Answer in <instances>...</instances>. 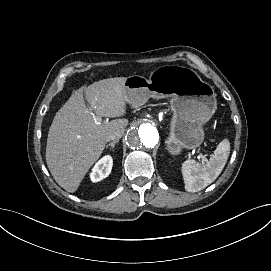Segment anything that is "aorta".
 Here are the masks:
<instances>
[{
  "mask_svg": "<svg viewBox=\"0 0 271 271\" xmlns=\"http://www.w3.org/2000/svg\"><path fill=\"white\" fill-rule=\"evenodd\" d=\"M125 139L131 149L147 151L157 145L159 133L153 123L146 119H139L131 124Z\"/></svg>",
  "mask_w": 271,
  "mask_h": 271,
  "instance_id": "762f6f07",
  "label": "aorta"
}]
</instances>
